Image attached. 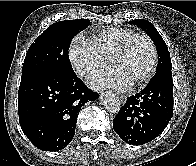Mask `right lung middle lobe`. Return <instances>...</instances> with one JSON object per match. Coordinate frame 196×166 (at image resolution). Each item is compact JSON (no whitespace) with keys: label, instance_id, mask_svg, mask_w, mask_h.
Here are the masks:
<instances>
[{"label":"right lung middle lobe","instance_id":"1","mask_svg":"<svg viewBox=\"0 0 196 166\" xmlns=\"http://www.w3.org/2000/svg\"><path fill=\"white\" fill-rule=\"evenodd\" d=\"M88 25L89 19H76L56 22L49 26L28 49L22 75L34 71L74 75L68 47L72 38Z\"/></svg>","mask_w":196,"mask_h":166}]
</instances>
